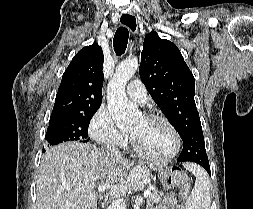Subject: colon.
Masks as SVG:
<instances>
[{
  "label": "colon",
  "instance_id": "colon-1",
  "mask_svg": "<svg viewBox=\"0 0 253 209\" xmlns=\"http://www.w3.org/2000/svg\"><path fill=\"white\" fill-rule=\"evenodd\" d=\"M168 183L171 186H179V196L184 201L190 192V182L185 172L178 169H171L169 171Z\"/></svg>",
  "mask_w": 253,
  "mask_h": 209
}]
</instances>
